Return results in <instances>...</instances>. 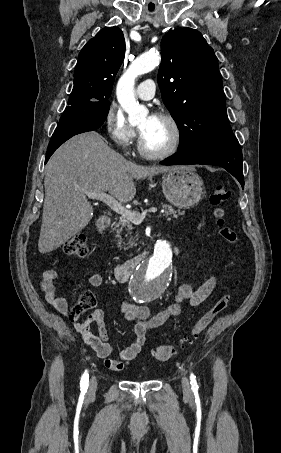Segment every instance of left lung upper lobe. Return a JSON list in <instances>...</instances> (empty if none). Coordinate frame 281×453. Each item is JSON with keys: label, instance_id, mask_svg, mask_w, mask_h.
<instances>
[{"label": "left lung upper lobe", "instance_id": "left-lung-upper-lobe-1", "mask_svg": "<svg viewBox=\"0 0 281 453\" xmlns=\"http://www.w3.org/2000/svg\"><path fill=\"white\" fill-rule=\"evenodd\" d=\"M161 55L158 84L180 130L178 151L234 136L218 60L202 34L191 28L167 32Z\"/></svg>", "mask_w": 281, "mask_h": 453}]
</instances>
